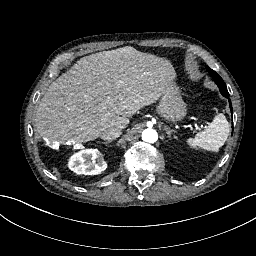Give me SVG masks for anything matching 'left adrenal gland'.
Listing matches in <instances>:
<instances>
[{
    "label": "left adrenal gland",
    "mask_w": 256,
    "mask_h": 256,
    "mask_svg": "<svg viewBox=\"0 0 256 256\" xmlns=\"http://www.w3.org/2000/svg\"><path fill=\"white\" fill-rule=\"evenodd\" d=\"M164 130H165L166 134L168 135L169 139L172 138V134H175V133H176V131L169 129V128L166 127V126H164Z\"/></svg>",
    "instance_id": "a2214340"
}]
</instances>
